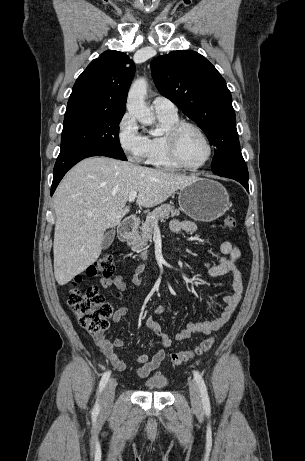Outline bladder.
<instances>
[{
    "label": "bladder",
    "mask_w": 305,
    "mask_h": 461,
    "mask_svg": "<svg viewBox=\"0 0 305 461\" xmlns=\"http://www.w3.org/2000/svg\"><path fill=\"white\" fill-rule=\"evenodd\" d=\"M168 385V378L163 374L154 375L143 382L144 388L151 392H162Z\"/></svg>",
    "instance_id": "obj_1"
}]
</instances>
